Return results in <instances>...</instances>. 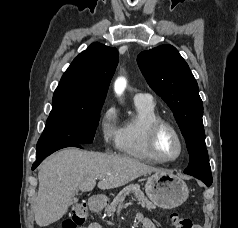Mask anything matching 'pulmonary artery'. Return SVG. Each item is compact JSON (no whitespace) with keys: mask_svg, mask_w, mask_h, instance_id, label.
Instances as JSON below:
<instances>
[{"mask_svg":"<svg viewBox=\"0 0 238 228\" xmlns=\"http://www.w3.org/2000/svg\"><path fill=\"white\" fill-rule=\"evenodd\" d=\"M134 100L139 102H153V99L150 95L143 93L136 94Z\"/></svg>","mask_w":238,"mask_h":228,"instance_id":"pulmonary-artery-1","label":"pulmonary artery"}]
</instances>
